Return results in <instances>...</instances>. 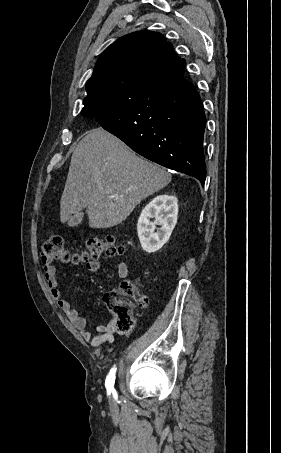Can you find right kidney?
Instances as JSON below:
<instances>
[{"mask_svg": "<svg viewBox=\"0 0 281 453\" xmlns=\"http://www.w3.org/2000/svg\"><path fill=\"white\" fill-rule=\"evenodd\" d=\"M177 214V196L173 194H158L146 204L137 224L139 241L146 253H156L167 243L177 222ZM153 216L154 222L150 220ZM155 224H160L157 233Z\"/></svg>", "mask_w": 281, "mask_h": 453, "instance_id": "obj_1", "label": "right kidney"}]
</instances>
